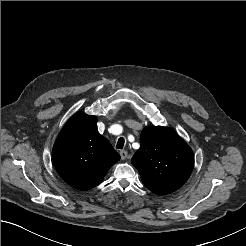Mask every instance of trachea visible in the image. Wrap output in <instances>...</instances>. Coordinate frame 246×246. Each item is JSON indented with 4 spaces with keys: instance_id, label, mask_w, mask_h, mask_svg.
I'll list each match as a JSON object with an SVG mask.
<instances>
[{
    "instance_id": "obj_1",
    "label": "trachea",
    "mask_w": 246,
    "mask_h": 246,
    "mask_svg": "<svg viewBox=\"0 0 246 246\" xmlns=\"http://www.w3.org/2000/svg\"><path fill=\"white\" fill-rule=\"evenodd\" d=\"M124 143H125L124 138H122V137L119 138V139H118V142H117V145H116V148H117V149H123Z\"/></svg>"
}]
</instances>
